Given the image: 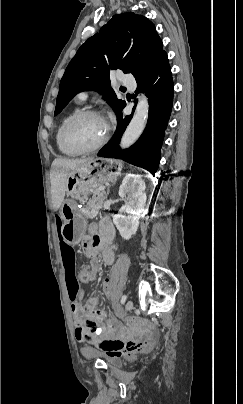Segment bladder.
Listing matches in <instances>:
<instances>
[{"instance_id":"bladder-1","label":"bladder","mask_w":243,"mask_h":404,"mask_svg":"<svg viewBox=\"0 0 243 404\" xmlns=\"http://www.w3.org/2000/svg\"><path fill=\"white\" fill-rule=\"evenodd\" d=\"M81 354L88 359L100 358L109 366H120L122 360L119 356L108 355L89 345L80 348Z\"/></svg>"}]
</instances>
